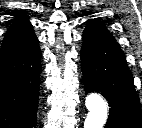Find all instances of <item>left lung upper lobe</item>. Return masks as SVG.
Masks as SVG:
<instances>
[{
	"label": "left lung upper lobe",
	"instance_id": "obj_1",
	"mask_svg": "<svg viewBox=\"0 0 142 128\" xmlns=\"http://www.w3.org/2000/svg\"><path fill=\"white\" fill-rule=\"evenodd\" d=\"M87 22H89L90 24L96 26L97 28H99V29H101V30H103L105 32H108L107 28L102 23L97 21L96 19H90Z\"/></svg>",
	"mask_w": 142,
	"mask_h": 128
}]
</instances>
